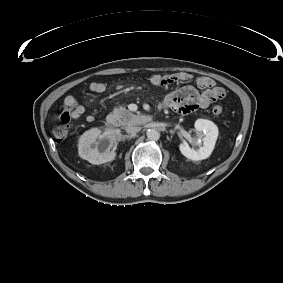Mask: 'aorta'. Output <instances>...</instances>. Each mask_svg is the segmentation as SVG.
<instances>
[{
  "label": "aorta",
  "instance_id": "1",
  "mask_svg": "<svg viewBox=\"0 0 283 283\" xmlns=\"http://www.w3.org/2000/svg\"><path fill=\"white\" fill-rule=\"evenodd\" d=\"M147 138L151 141H157L160 138V132L155 128L149 129L147 131Z\"/></svg>",
  "mask_w": 283,
  "mask_h": 283
}]
</instances>
